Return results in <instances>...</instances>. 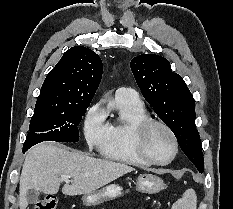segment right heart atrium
I'll list each match as a JSON object with an SVG mask.
<instances>
[{
    "label": "right heart atrium",
    "mask_w": 233,
    "mask_h": 209,
    "mask_svg": "<svg viewBox=\"0 0 233 209\" xmlns=\"http://www.w3.org/2000/svg\"><path fill=\"white\" fill-rule=\"evenodd\" d=\"M84 136L90 148H100L108 134L105 115L101 106L97 103L91 106L85 115Z\"/></svg>",
    "instance_id": "obj_1"
}]
</instances>
